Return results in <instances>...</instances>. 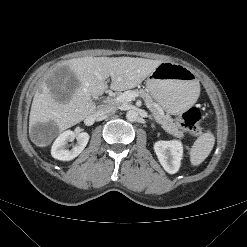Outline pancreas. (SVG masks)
I'll use <instances>...</instances> for the list:
<instances>
[{"mask_svg":"<svg viewBox=\"0 0 247 247\" xmlns=\"http://www.w3.org/2000/svg\"><path fill=\"white\" fill-rule=\"evenodd\" d=\"M131 91V90H130ZM135 93L137 96H140L144 99V101L149 105L150 110L155 118V120L161 124L162 128L170 135L182 138L184 137V134L182 131L179 130V127L176 123L173 122V119L170 115L164 114L162 111H160V108L156 106L154 103L152 97L149 95L148 92H146L143 89H136L131 91Z\"/></svg>","mask_w":247,"mask_h":247,"instance_id":"pancreas-1","label":"pancreas"}]
</instances>
